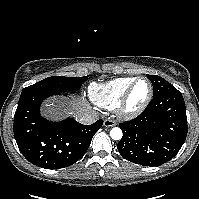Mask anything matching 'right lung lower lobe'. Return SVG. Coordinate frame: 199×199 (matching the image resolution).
I'll list each match as a JSON object with an SVG mask.
<instances>
[{
	"label": "right lung lower lobe",
	"instance_id": "obj_1",
	"mask_svg": "<svg viewBox=\"0 0 199 199\" xmlns=\"http://www.w3.org/2000/svg\"><path fill=\"white\" fill-rule=\"evenodd\" d=\"M60 93H21L14 116V137L23 156L47 169L70 166L86 153L93 135L103 121L83 125L72 118L51 122L40 115V106L49 96Z\"/></svg>",
	"mask_w": 199,
	"mask_h": 199
}]
</instances>
